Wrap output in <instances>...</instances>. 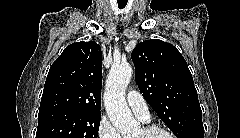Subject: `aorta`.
Instances as JSON below:
<instances>
[{
    "instance_id": "1",
    "label": "aorta",
    "mask_w": 240,
    "mask_h": 138,
    "mask_svg": "<svg viewBox=\"0 0 240 138\" xmlns=\"http://www.w3.org/2000/svg\"><path fill=\"white\" fill-rule=\"evenodd\" d=\"M133 69L130 65H113L109 71L104 94V104L111 123L123 138H132L138 123L126 103L125 90L130 83Z\"/></svg>"
}]
</instances>
